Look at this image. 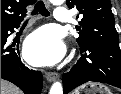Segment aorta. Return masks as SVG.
Listing matches in <instances>:
<instances>
[{
  "mask_svg": "<svg viewBox=\"0 0 121 94\" xmlns=\"http://www.w3.org/2000/svg\"><path fill=\"white\" fill-rule=\"evenodd\" d=\"M50 1L56 5H61L64 3V0H50ZM49 94H63L62 84L60 82H55L52 85Z\"/></svg>",
  "mask_w": 121,
  "mask_h": 94,
  "instance_id": "obj_1",
  "label": "aorta"
}]
</instances>
